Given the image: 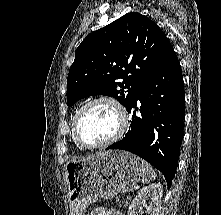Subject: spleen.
<instances>
[{
	"label": "spleen",
	"mask_w": 221,
	"mask_h": 215,
	"mask_svg": "<svg viewBox=\"0 0 221 215\" xmlns=\"http://www.w3.org/2000/svg\"><path fill=\"white\" fill-rule=\"evenodd\" d=\"M142 164V180L143 184L150 183L151 181L155 180L157 175L153 170L152 166L145 162L144 160L141 161Z\"/></svg>",
	"instance_id": "3e777b00"
}]
</instances>
